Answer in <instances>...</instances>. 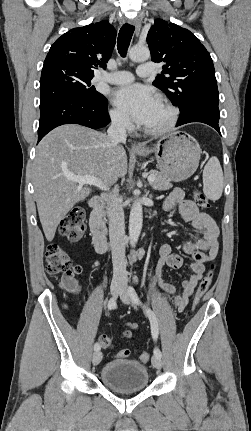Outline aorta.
<instances>
[{
    "mask_svg": "<svg viewBox=\"0 0 251 431\" xmlns=\"http://www.w3.org/2000/svg\"><path fill=\"white\" fill-rule=\"evenodd\" d=\"M129 57L134 62L146 61L150 58V51L147 47L134 46L129 51ZM143 223L142 205L138 200L132 204L129 217V240L131 246L137 243Z\"/></svg>",
    "mask_w": 251,
    "mask_h": 431,
    "instance_id": "aorta-1",
    "label": "aorta"
}]
</instances>
